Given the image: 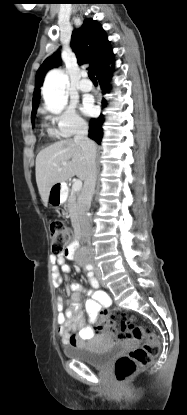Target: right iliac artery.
Here are the masks:
<instances>
[{
	"instance_id": "1",
	"label": "right iliac artery",
	"mask_w": 187,
	"mask_h": 415,
	"mask_svg": "<svg viewBox=\"0 0 187 415\" xmlns=\"http://www.w3.org/2000/svg\"><path fill=\"white\" fill-rule=\"evenodd\" d=\"M92 268H93V267H92L91 265H88V266H87V270H92Z\"/></svg>"
}]
</instances>
